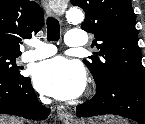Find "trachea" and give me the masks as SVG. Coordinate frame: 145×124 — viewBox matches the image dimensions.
<instances>
[{"instance_id":"1","label":"trachea","mask_w":145,"mask_h":124,"mask_svg":"<svg viewBox=\"0 0 145 124\" xmlns=\"http://www.w3.org/2000/svg\"><path fill=\"white\" fill-rule=\"evenodd\" d=\"M47 38L49 41H58L60 38V25L56 18H47Z\"/></svg>"}]
</instances>
